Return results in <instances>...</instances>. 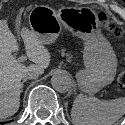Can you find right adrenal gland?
I'll list each match as a JSON object with an SVG mask.
<instances>
[{
    "instance_id": "2a0ac1e0",
    "label": "right adrenal gland",
    "mask_w": 125,
    "mask_h": 125,
    "mask_svg": "<svg viewBox=\"0 0 125 125\" xmlns=\"http://www.w3.org/2000/svg\"><path fill=\"white\" fill-rule=\"evenodd\" d=\"M26 82V80H23L21 83V92L23 91V87H24V83Z\"/></svg>"
}]
</instances>
